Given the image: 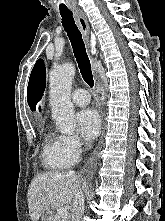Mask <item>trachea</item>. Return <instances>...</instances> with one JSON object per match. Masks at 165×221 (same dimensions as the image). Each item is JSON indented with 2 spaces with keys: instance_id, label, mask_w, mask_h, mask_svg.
<instances>
[{
  "instance_id": "obj_1",
  "label": "trachea",
  "mask_w": 165,
  "mask_h": 221,
  "mask_svg": "<svg viewBox=\"0 0 165 221\" xmlns=\"http://www.w3.org/2000/svg\"><path fill=\"white\" fill-rule=\"evenodd\" d=\"M62 24L67 32L73 47V52L80 69L83 80L90 86H94V79L91 71L90 60L86 53L85 44L82 39L81 32L75 24L72 12L70 10H60Z\"/></svg>"
}]
</instances>
